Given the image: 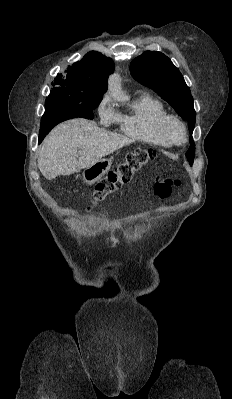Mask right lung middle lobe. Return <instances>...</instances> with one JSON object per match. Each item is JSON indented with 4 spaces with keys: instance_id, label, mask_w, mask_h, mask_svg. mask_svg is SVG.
I'll use <instances>...</instances> for the list:
<instances>
[{
    "instance_id": "1",
    "label": "right lung middle lobe",
    "mask_w": 232,
    "mask_h": 399,
    "mask_svg": "<svg viewBox=\"0 0 232 399\" xmlns=\"http://www.w3.org/2000/svg\"><path fill=\"white\" fill-rule=\"evenodd\" d=\"M102 97V93L65 92L55 86L47 97L45 106L59 107L74 113L93 114V110L98 107Z\"/></svg>"
}]
</instances>
